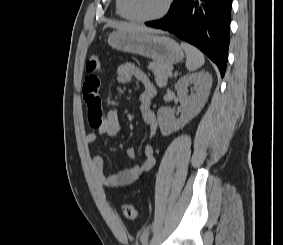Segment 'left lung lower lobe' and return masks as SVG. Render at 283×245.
Listing matches in <instances>:
<instances>
[{
  "mask_svg": "<svg viewBox=\"0 0 283 245\" xmlns=\"http://www.w3.org/2000/svg\"><path fill=\"white\" fill-rule=\"evenodd\" d=\"M232 0H174L168 14L150 27L169 31L204 52L223 77L229 47Z\"/></svg>",
  "mask_w": 283,
  "mask_h": 245,
  "instance_id": "1",
  "label": "left lung lower lobe"
}]
</instances>
